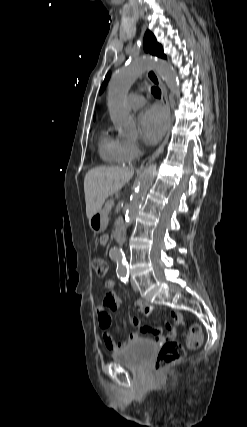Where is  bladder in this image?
Returning a JSON list of instances; mask_svg holds the SVG:
<instances>
[{
    "label": "bladder",
    "mask_w": 247,
    "mask_h": 427,
    "mask_svg": "<svg viewBox=\"0 0 247 427\" xmlns=\"http://www.w3.org/2000/svg\"><path fill=\"white\" fill-rule=\"evenodd\" d=\"M156 345L150 340H136L112 354L115 362L133 370L146 367L155 352Z\"/></svg>",
    "instance_id": "obj_1"
}]
</instances>
